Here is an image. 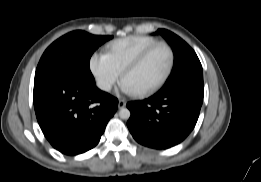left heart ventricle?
I'll list each match as a JSON object with an SVG mask.
<instances>
[{"mask_svg": "<svg viewBox=\"0 0 261 182\" xmlns=\"http://www.w3.org/2000/svg\"><path fill=\"white\" fill-rule=\"evenodd\" d=\"M170 62L167 48L159 47L154 50L136 70L125 79L135 92L149 88L156 84L166 73Z\"/></svg>", "mask_w": 261, "mask_h": 182, "instance_id": "1", "label": "left heart ventricle"}]
</instances>
